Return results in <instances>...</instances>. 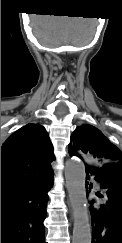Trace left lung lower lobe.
<instances>
[{
	"label": "left lung lower lobe",
	"instance_id": "obj_1",
	"mask_svg": "<svg viewBox=\"0 0 122 243\" xmlns=\"http://www.w3.org/2000/svg\"><path fill=\"white\" fill-rule=\"evenodd\" d=\"M85 168L87 179L94 175L101 189L95 194L98 198L90 201L95 223L91 243H122V164H85ZM90 186L92 188V184Z\"/></svg>",
	"mask_w": 122,
	"mask_h": 243
}]
</instances>
